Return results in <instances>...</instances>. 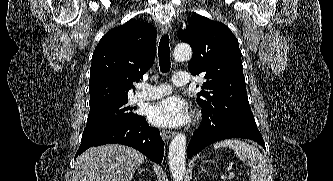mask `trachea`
Masks as SVG:
<instances>
[{
  "mask_svg": "<svg viewBox=\"0 0 333 181\" xmlns=\"http://www.w3.org/2000/svg\"><path fill=\"white\" fill-rule=\"evenodd\" d=\"M158 57L160 70L162 73H167L170 70V46H169V36L165 34L161 37L158 47Z\"/></svg>",
  "mask_w": 333,
  "mask_h": 181,
  "instance_id": "3493384b",
  "label": "trachea"
}]
</instances>
